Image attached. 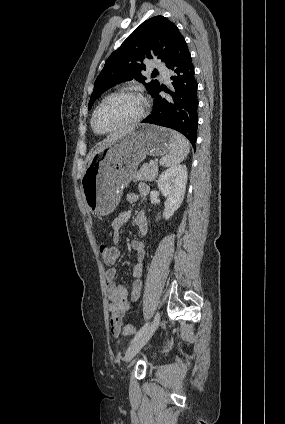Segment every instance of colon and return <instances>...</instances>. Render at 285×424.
Masks as SVG:
<instances>
[{"mask_svg":"<svg viewBox=\"0 0 285 424\" xmlns=\"http://www.w3.org/2000/svg\"><path fill=\"white\" fill-rule=\"evenodd\" d=\"M99 252L100 255L102 257V260L104 262V264L106 265H112L115 263V261L118 258V250L115 247L106 245V244H101L99 246ZM112 322L114 324V326H118V317L114 316L112 319ZM122 330L125 332H128L130 334H133L135 331L134 329L130 326V325H125L122 326Z\"/></svg>","mask_w":285,"mask_h":424,"instance_id":"5ec220e1","label":"colon"}]
</instances>
